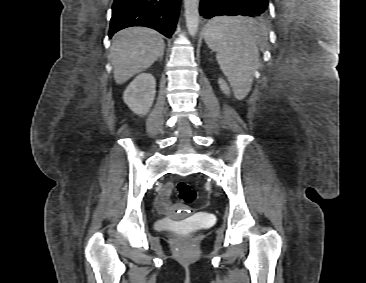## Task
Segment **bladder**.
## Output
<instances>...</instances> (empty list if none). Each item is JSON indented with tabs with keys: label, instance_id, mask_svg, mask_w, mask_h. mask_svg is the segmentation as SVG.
I'll list each match as a JSON object with an SVG mask.
<instances>
[{
	"label": "bladder",
	"instance_id": "obj_1",
	"mask_svg": "<svg viewBox=\"0 0 366 283\" xmlns=\"http://www.w3.org/2000/svg\"><path fill=\"white\" fill-rule=\"evenodd\" d=\"M156 227L159 230H170L171 229V223L167 220L161 219V220L157 221Z\"/></svg>",
	"mask_w": 366,
	"mask_h": 283
}]
</instances>
